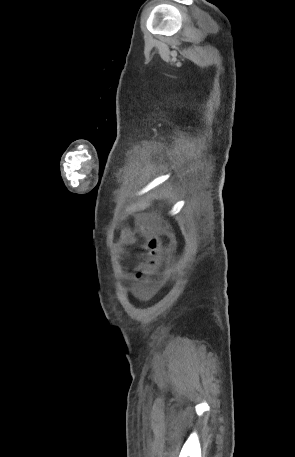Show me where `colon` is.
Here are the masks:
<instances>
[{"label":"colon","mask_w":295,"mask_h":457,"mask_svg":"<svg viewBox=\"0 0 295 457\" xmlns=\"http://www.w3.org/2000/svg\"><path fill=\"white\" fill-rule=\"evenodd\" d=\"M170 242V237L167 234L157 232L151 227H146V235L143 248L146 254V262L142 269L135 274L138 280L142 279L153 266H155L161 258L163 249Z\"/></svg>","instance_id":"colon-1"}]
</instances>
